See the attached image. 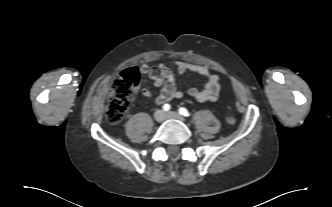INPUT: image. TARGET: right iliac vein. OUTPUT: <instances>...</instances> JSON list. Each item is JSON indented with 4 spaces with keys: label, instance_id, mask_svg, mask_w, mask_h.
<instances>
[{
    "label": "right iliac vein",
    "instance_id": "1",
    "mask_svg": "<svg viewBox=\"0 0 332 207\" xmlns=\"http://www.w3.org/2000/svg\"><path fill=\"white\" fill-rule=\"evenodd\" d=\"M154 118L157 122H163L165 120V113L162 110H157L154 114Z\"/></svg>",
    "mask_w": 332,
    "mask_h": 207
}]
</instances>
